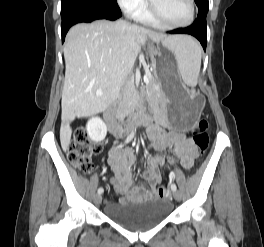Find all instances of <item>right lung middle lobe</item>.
<instances>
[{
	"mask_svg": "<svg viewBox=\"0 0 264 247\" xmlns=\"http://www.w3.org/2000/svg\"><path fill=\"white\" fill-rule=\"evenodd\" d=\"M102 1H110V2H112V1H115V0H102Z\"/></svg>",
	"mask_w": 264,
	"mask_h": 247,
	"instance_id": "right-lung-middle-lobe-1",
	"label": "right lung middle lobe"
}]
</instances>
